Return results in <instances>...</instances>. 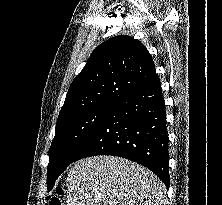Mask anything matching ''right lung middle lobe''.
<instances>
[{
  "label": "right lung middle lobe",
  "mask_w": 222,
  "mask_h": 205,
  "mask_svg": "<svg viewBox=\"0 0 222 205\" xmlns=\"http://www.w3.org/2000/svg\"><path fill=\"white\" fill-rule=\"evenodd\" d=\"M118 102L96 105L57 121L49 149L48 186L68 167L87 138Z\"/></svg>",
  "instance_id": "dd1d6c3e"
}]
</instances>
